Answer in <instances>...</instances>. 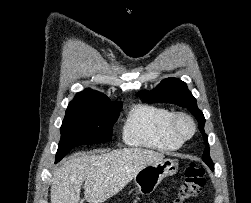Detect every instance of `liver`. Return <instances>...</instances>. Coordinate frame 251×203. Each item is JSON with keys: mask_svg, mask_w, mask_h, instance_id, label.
Instances as JSON below:
<instances>
[{"mask_svg": "<svg viewBox=\"0 0 251 203\" xmlns=\"http://www.w3.org/2000/svg\"><path fill=\"white\" fill-rule=\"evenodd\" d=\"M164 154L144 148H125L100 155L74 154L53 172L51 203H103L120 192L144 167Z\"/></svg>", "mask_w": 251, "mask_h": 203, "instance_id": "6515ba94", "label": "liver"}]
</instances>
